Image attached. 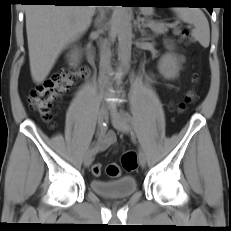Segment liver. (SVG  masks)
Wrapping results in <instances>:
<instances>
[{"label":"liver","instance_id":"liver-1","mask_svg":"<svg viewBox=\"0 0 231 231\" xmlns=\"http://www.w3.org/2000/svg\"><path fill=\"white\" fill-rule=\"evenodd\" d=\"M96 6L28 5L26 32L32 79L41 84L63 49L87 31Z\"/></svg>","mask_w":231,"mask_h":231}]
</instances>
